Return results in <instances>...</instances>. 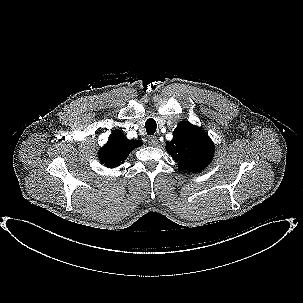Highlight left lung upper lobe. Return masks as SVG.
Wrapping results in <instances>:
<instances>
[{
  "label": "left lung upper lobe",
  "mask_w": 303,
  "mask_h": 303,
  "mask_svg": "<svg viewBox=\"0 0 303 303\" xmlns=\"http://www.w3.org/2000/svg\"><path fill=\"white\" fill-rule=\"evenodd\" d=\"M165 148L180 170L193 173L205 169L214 153V144L208 134L188 121L174 129L173 139L166 142Z\"/></svg>",
  "instance_id": "left-lung-upper-lobe-1"
}]
</instances>
